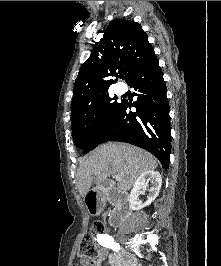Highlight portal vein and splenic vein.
Returning a JSON list of instances; mask_svg holds the SVG:
<instances>
[{"label": "portal vein and splenic vein", "instance_id": "18ae733b", "mask_svg": "<svg viewBox=\"0 0 221 266\" xmlns=\"http://www.w3.org/2000/svg\"><path fill=\"white\" fill-rule=\"evenodd\" d=\"M115 179H116L117 181H119V180L121 179V176H120V175H115Z\"/></svg>", "mask_w": 221, "mask_h": 266}]
</instances>
